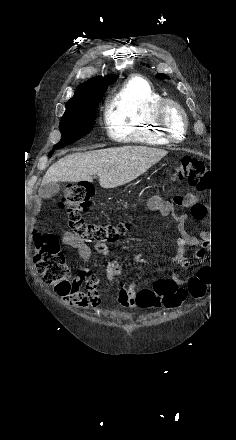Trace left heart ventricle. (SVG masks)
I'll return each mask as SVG.
<instances>
[{
	"instance_id": "obj_1",
	"label": "left heart ventricle",
	"mask_w": 236,
	"mask_h": 440,
	"mask_svg": "<svg viewBox=\"0 0 236 440\" xmlns=\"http://www.w3.org/2000/svg\"><path fill=\"white\" fill-rule=\"evenodd\" d=\"M167 119H168L169 126L172 129L173 133L177 137H180L182 134V120H181L179 113L176 110L171 109L168 112Z\"/></svg>"
}]
</instances>
